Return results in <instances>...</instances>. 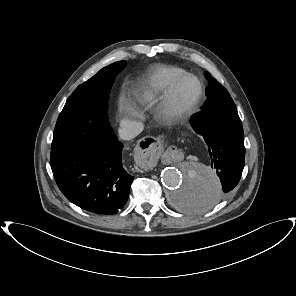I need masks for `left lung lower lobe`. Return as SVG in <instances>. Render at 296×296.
<instances>
[{
  "label": "left lung lower lobe",
  "instance_id": "0a47b994",
  "mask_svg": "<svg viewBox=\"0 0 296 296\" xmlns=\"http://www.w3.org/2000/svg\"><path fill=\"white\" fill-rule=\"evenodd\" d=\"M195 132L209 153L221 186L208 191L190 181L180 195L183 208L204 211L222 200L238 184L244 168V133L236 106L229 94L208 99L201 111L190 118Z\"/></svg>",
  "mask_w": 296,
  "mask_h": 296
}]
</instances>
